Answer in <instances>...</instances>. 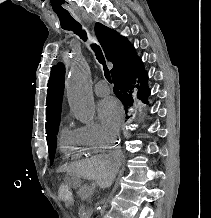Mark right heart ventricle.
<instances>
[{"mask_svg":"<svg viewBox=\"0 0 211 218\" xmlns=\"http://www.w3.org/2000/svg\"><path fill=\"white\" fill-rule=\"evenodd\" d=\"M60 146L62 157H80L85 154H92L102 148L94 147L85 143L77 134L76 130L63 129L60 133Z\"/></svg>","mask_w":211,"mask_h":218,"instance_id":"1","label":"right heart ventricle"}]
</instances>
